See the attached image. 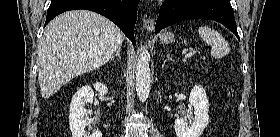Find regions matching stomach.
<instances>
[{"mask_svg":"<svg viewBox=\"0 0 280 137\" xmlns=\"http://www.w3.org/2000/svg\"><path fill=\"white\" fill-rule=\"evenodd\" d=\"M173 40H174V35L170 32L163 33L160 36V41L162 43H171V42H173Z\"/></svg>","mask_w":280,"mask_h":137,"instance_id":"obj_1","label":"stomach"}]
</instances>
